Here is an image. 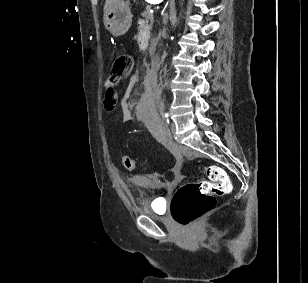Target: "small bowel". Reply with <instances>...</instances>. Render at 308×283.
<instances>
[{
  "label": "small bowel",
  "instance_id": "obj_1",
  "mask_svg": "<svg viewBox=\"0 0 308 283\" xmlns=\"http://www.w3.org/2000/svg\"><path fill=\"white\" fill-rule=\"evenodd\" d=\"M144 30H148L147 26L145 25L144 22H139V31L138 34L136 35L137 41H139L140 34ZM136 82H137V77L133 76L130 79V85H133ZM104 88H105V100H104L105 108L108 112H112L117 105L119 95L117 90L115 89V84L111 83L110 81H106L104 83ZM120 103L123 113L122 121L124 123L129 122L133 119V113L139 120H144L148 117L150 105L145 98H142L137 102L129 103L128 94L126 93L122 97Z\"/></svg>",
  "mask_w": 308,
  "mask_h": 283
}]
</instances>
